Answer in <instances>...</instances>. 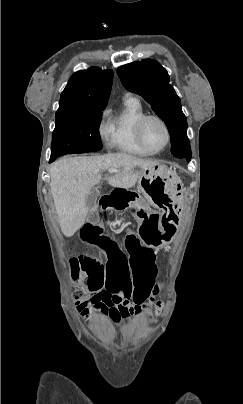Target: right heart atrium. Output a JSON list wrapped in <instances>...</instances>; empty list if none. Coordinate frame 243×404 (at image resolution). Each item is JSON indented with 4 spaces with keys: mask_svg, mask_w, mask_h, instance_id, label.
Segmentation results:
<instances>
[{
    "mask_svg": "<svg viewBox=\"0 0 243 404\" xmlns=\"http://www.w3.org/2000/svg\"><path fill=\"white\" fill-rule=\"evenodd\" d=\"M97 137L107 151L115 149V138L109 108L101 111L96 123Z\"/></svg>",
    "mask_w": 243,
    "mask_h": 404,
    "instance_id": "1",
    "label": "right heart atrium"
}]
</instances>
